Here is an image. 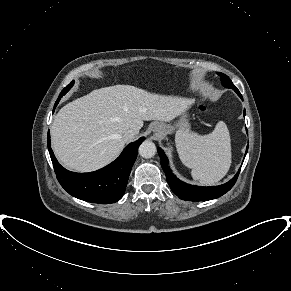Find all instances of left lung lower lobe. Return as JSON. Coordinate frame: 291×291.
Instances as JSON below:
<instances>
[{"label": "left lung lower lobe", "mask_w": 291, "mask_h": 291, "mask_svg": "<svg viewBox=\"0 0 291 291\" xmlns=\"http://www.w3.org/2000/svg\"><path fill=\"white\" fill-rule=\"evenodd\" d=\"M241 98V94H238ZM245 116V111H244ZM248 150V146H247ZM246 150V153H247ZM158 154L161 158V166L165 173L167 183L169 184L171 190L175 195H177L180 199L186 201H208L211 199L218 198L228 192L236 183L238 178L239 172L227 183L219 185V186H212V187H200L187 184L185 182L180 181L170 169L168 165V158L164 154L163 150L158 148ZM240 171V169H239Z\"/></svg>", "instance_id": "left-lung-lower-lobe-1"}]
</instances>
